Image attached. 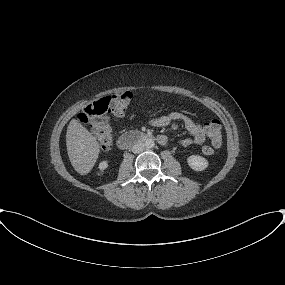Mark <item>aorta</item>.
Segmentation results:
<instances>
[{
	"label": "aorta",
	"instance_id": "aorta-1",
	"mask_svg": "<svg viewBox=\"0 0 285 285\" xmlns=\"http://www.w3.org/2000/svg\"><path fill=\"white\" fill-rule=\"evenodd\" d=\"M144 145H145V147H146L147 149H151V148H153V147L155 146V143H154V140H152V139H147V140L145 141Z\"/></svg>",
	"mask_w": 285,
	"mask_h": 285
}]
</instances>
